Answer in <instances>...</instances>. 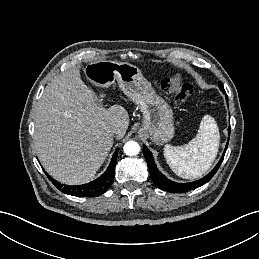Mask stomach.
I'll use <instances>...</instances> for the list:
<instances>
[{"label": "stomach", "mask_w": 259, "mask_h": 259, "mask_svg": "<svg viewBox=\"0 0 259 259\" xmlns=\"http://www.w3.org/2000/svg\"><path fill=\"white\" fill-rule=\"evenodd\" d=\"M84 74L92 84L99 87H109L117 81L123 93L143 114L140 134L149 136L157 145H162L173 138L172 109L156 94L138 67L126 62L100 60L88 63L84 68Z\"/></svg>", "instance_id": "1"}]
</instances>
